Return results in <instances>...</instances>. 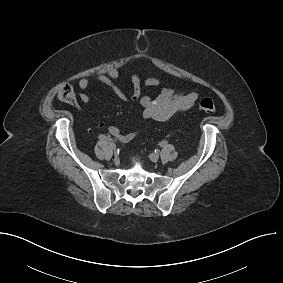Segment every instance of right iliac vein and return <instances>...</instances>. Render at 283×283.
<instances>
[{
	"label": "right iliac vein",
	"mask_w": 283,
	"mask_h": 283,
	"mask_svg": "<svg viewBox=\"0 0 283 283\" xmlns=\"http://www.w3.org/2000/svg\"><path fill=\"white\" fill-rule=\"evenodd\" d=\"M109 146H110L111 149L116 150V146H115L114 143H110Z\"/></svg>",
	"instance_id": "63e3f726"
}]
</instances>
